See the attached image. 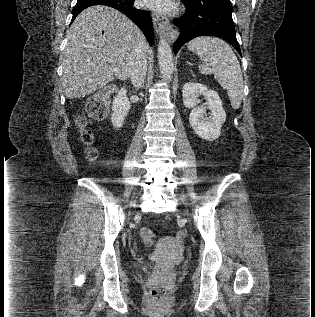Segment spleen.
I'll use <instances>...</instances> for the list:
<instances>
[{
	"label": "spleen",
	"instance_id": "spleen-1",
	"mask_svg": "<svg viewBox=\"0 0 315 317\" xmlns=\"http://www.w3.org/2000/svg\"><path fill=\"white\" fill-rule=\"evenodd\" d=\"M189 51L196 53L202 63V74H213L223 89L227 90L231 106L238 109L243 99V75L232 48L222 39L201 36L188 43Z\"/></svg>",
	"mask_w": 315,
	"mask_h": 317
}]
</instances>
